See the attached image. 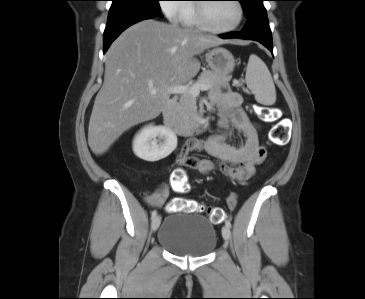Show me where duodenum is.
Instances as JSON below:
<instances>
[{
    "mask_svg": "<svg viewBox=\"0 0 365 299\" xmlns=\"http://www.w3.org/2000/svg\"><path fill=\"white\" fill-rule=\"evenodd\" d=\"M177 107V98L172 97L168 100L162 110L163 122L166 127L180 136H188L199 133L204 125L200 121H192L187 124L178 123L175 120V111Z\"/></svg>",
    "mask_w": 365,
    "mask_h": 299,
    "instance_id": "duodenum-1",
    "label": "duodenum"
}]
</instances>
